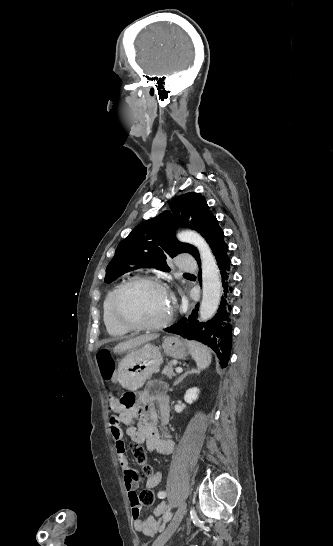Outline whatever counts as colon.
<instances>
[{
	"label": "colon",
	"mask_w": 333,
	"mask_h": 546,
	"mask_svg": "<svg viewBox=\"0 0 333 546\" xmlns=\"http://www.w3.org/2000/svg\"><path fill=\"white\" fill-rule=\"evenodd\" d=\"M98 364L104 378L109 379L113 371V365L109 359L108 351L102 350L97 355ZM120 404L127 407L136 405V396L133 393H128L121 397ZM133 455L137 463L142 466V469L147 476L153 475L152 467L147 463V455L144 447L140 444L133 446ZM140 506H152L155 503V493L152 489L147 488L141 491L138 496Z\"/></svg>",
	"instance_id": "colon-1"
}]
</instances>
